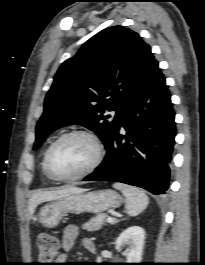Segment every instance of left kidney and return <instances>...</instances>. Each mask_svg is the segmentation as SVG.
<instances>
[{
  "label": "left kidney",
  "mask_w": 205,
  "mask_h": 265,
  "mask_svg": "<svg viewBox=\"0 0 205 265\" xmlns=\"http://www.w3.org/2000/svg\"><path fill=\"white\" fill-rule=\"evenodd\" d=\"M145 231L140 226H131L124 230L116 240V249L121 250L122 246L128 245L126 252L128 263H140L144 246Z\"/></svg>",
  "instance_id": "5707ae66"
}]
</instances>
